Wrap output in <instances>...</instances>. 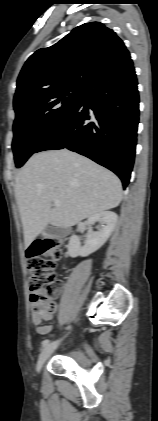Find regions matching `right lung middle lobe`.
Listing matches in <instances>:
<instances>
[{
    "label": "right lung middle lobe",
    "instance_id": "dd1d6c3e",
    "mask_svg": "<svg viewBox=\"0 0 158 421\" xmlns=\"http://www.w3.org/2000/svg\"><path fill=\"white\" fill-rule=\"evenodd\" d=\"M83 86L55 88L14 104L12 143L16 167H21L78 103Z\"/></svg>",
    "mask_w": 158,
    "mask_h": 421
}]
</instances>
